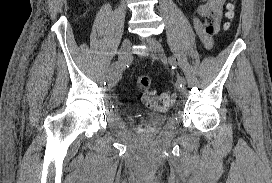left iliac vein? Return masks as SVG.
Returning a JSON list of instances; mask_svg holds the SVG:
<instances>
[{"instance_id": "left-iliac-vein-1", "label": "left iliac vein", "mask_w": 272, "mask_h": 183, "mask_svg": "<svg viewBox=\"0 0 272 183\" xmlns=\"http://www.w3.org/2000/svg\"><path fill=\"white\" fill-rule=\"evenodd\" d=\"M147 45L149 47V50L151 52V57L153 59H156V60L163 59L164 60V49H163L162 44L157 39H155L153 37H149L147 39ZM178 90L181 93L186 92L185 88L178 87Z\"/></svg>"}]
</instances>
